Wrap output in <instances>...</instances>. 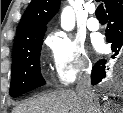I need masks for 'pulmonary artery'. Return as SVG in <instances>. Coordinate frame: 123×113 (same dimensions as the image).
I'll use <instances>...</instances> for the list:
<instances>
[{"label":"pulmonary artery","instance_id":"obj_1","mask_svg":"<svg viewBox=\"0 0 123 113\" xmlns=\"http://www.w3.org/2000/svg\"><path fill=\"white\" fill-rule=\"evenodd\" d=\"M91 17L87 21V27L91 31H98L100 29V22L94 17L95 8L91 7L89 10Z\"/></svg>","mask_w":123,"mask_h":113}]
</instances>
